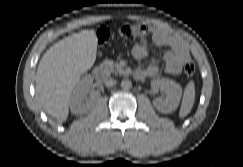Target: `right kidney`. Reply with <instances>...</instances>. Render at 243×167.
<instances>
[{"label":"right kidney","instance_id":"right-kidney-1","mask_svg":"<svg viewBox=\"0 0 243 167\" xmlns=\"http://www.w3.org/2000/svg\"><path fill=\"white\" fill-rule=\"evenodd\" d=\"M92 83L93 77L91 75L84 76L77 83L69 101V106L72 113L83 114L94 107L96 97H92L90 101L87 100V94L90 91Z\"/></svg>","mask_w":243,"mask_h":167}]
</instances>
